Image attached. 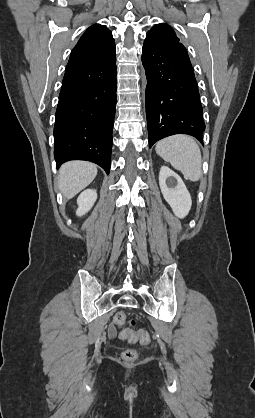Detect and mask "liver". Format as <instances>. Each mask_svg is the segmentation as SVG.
I'll return each mask as SVG.
<instances>
[{
	"label": "liver",
	"mask_w": 255,
	"mask_h": 418,
	"mask_svg": "<svg viewBox=\"0 0 255 418\" xmlns=\"http://www.w3.org/2000/svg\"><path fill=\"white\" fill-rule=\"evenodd\" d=\"M97 175V166L87 161H70L59 170V189L67 199L87 187Z\"/></svg>",
	"instance_id": "6515ba94"
}]
</instances>
